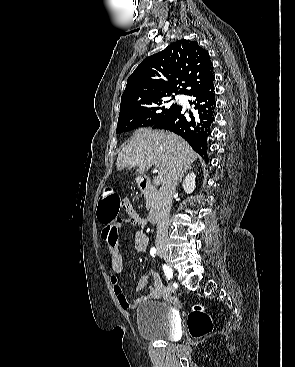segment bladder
Listing matches in <instances>:
<instances>
[{
	"label": "bladder",
	"mask_w": 295,
	"mask_h": 367,
	"mask_svg": "<svg viewBox=\"0 0 295 367\" xmlns=\"http://www.w3.org/2000/svg\"><path fill=\"white\" fill-rule=\"evenodd\" d=\"M137 329L141 337L170 341L177 337V312L169 304L145 301L137 309Z\"/></svg>",
	"instance_id": "obj_1"
}]
</instances>
